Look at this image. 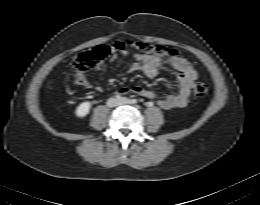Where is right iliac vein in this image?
Wrapping results in <instances>:
<instances>
[{
    "mask_svg": "<svg viewBox=\"0 0 260 205\" xmlns=\"http://www.w3.org/2000/svg\"><path fill=\"white\" fill-rule=\"evenodd\" d=\"M107 105H108L109 107H116V106L119 105V104H118V100L115 99V98H110V99L107 101Z\"/></svg>",
    "mask_w": 260,
    "mask_h": 205,
    "instance_id": "obj_1",
    "label": "right iliac vein"
}]
</instances>
